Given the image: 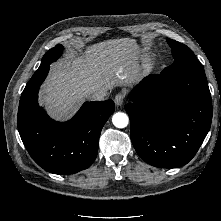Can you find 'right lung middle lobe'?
Segmentation results:
<instances>
[{"label":"right lung middle lobe","mask_w":221,"mask_h":221,"mask_svg":"<svg viewBox=\"0 0 221 221\" xmlns=\"http://www.w3.org/2000/svg\"><path fill=\"white\" fill-rule=\"evenodd\" d=\"M63 46L61 44L56 45L54 48L50 49L42 58L40 67L38 69H43L49 66L52 62L56 61L62 54Z\"/></svg>","instance_id":"dd1d6c3e"}]
</instances>
